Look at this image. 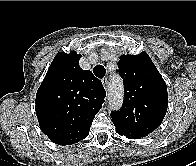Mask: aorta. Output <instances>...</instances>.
Returning a JSON list of instances; mask_svg holds the SVG:
<instances>
[{
	"label": "aorta",
	"mask_w": 196,
	"mask_h": 166,
	"mask_svg": "<svg viewBox=\"0 0 196 166\" xmlns=\"http://www.w3.org/2000/svg\"><path fill=\"white\" fill-rule=\"evenodd\" d=\"M109 102L112 109H119L123 102V85L119 78H113L109 86Z\"/></svg>",
	"instance_id": "762f6f07"
}]
</instances>
